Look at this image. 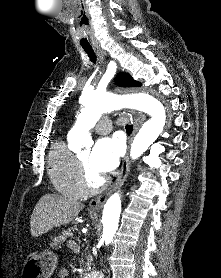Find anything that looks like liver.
<instances>
[{"mask_svg":"<svg viewBox=\"0 0 221 278\" xmlns=\"http://www.w3.org/2000/svg\"><path fill=\"white\" fill-rule=\"evenodd\" d=\"M84 204L59 194H45L36 204L30 219L31 235L39 237L54 227L72 222Z\"/></svg>","mask_w":221,"mask_h":278,"instance_id":"liver-1","label":"liver"}]
</instances>
